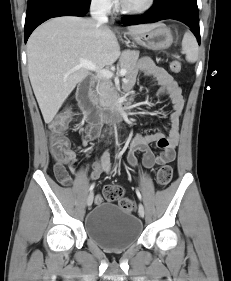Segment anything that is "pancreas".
Here are the masks:
<instances>
[{
    "label": "pancreas",
    "instance_id": "obj_1",
    "mask_svg": "<svg viewBox=\"0 0 231 281\" xmlns=\"http://www.w3.org/2000/svg\"><path fill=\"white\" fill-rule=\"evenodd\" d=\"M139 58V51L125 50L122 52L120 58V68L126 69V76L129 77L133 74L137 61ZM116 90L113 84L109 80H102L96 89V95H94V101L99 103L105 108L112 109L116 104Z\"/></svg>",
    "mask_w": 231,
    "mask_h": 281
}]
</instances>
